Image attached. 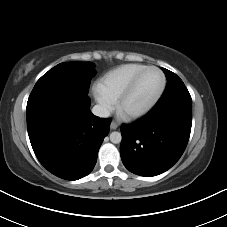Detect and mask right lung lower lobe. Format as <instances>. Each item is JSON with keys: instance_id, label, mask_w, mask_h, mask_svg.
<instances>
[{"instance_id": "98d812e1", "label": "right lung lower lobe", "mask_w": 227, "mask_h": 227, "mask_svg": "<svg viewBox=\"0 0 227 227\" xmlns=\"http://www.w3.org/2000/svg\"><path fill=\"white\" fill-rule=\"evenodd\" d=\"M82 90L47 95L27 105V130L40 163L55 176L78 180L94 168L110 120L89 111Z\"/></svg>"}]
</instances>
